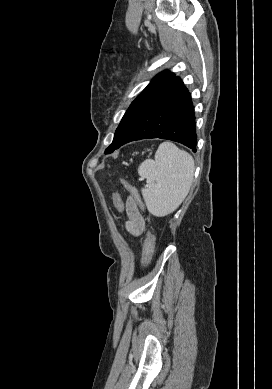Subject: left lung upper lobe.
<instances>
[{"label": "left lung upper lobe", "instance_id": "obj_1", "mask_svg": "<svg viewBox=\"0 0 272 389\" xmlns=\"http://www.w3.org/2000/svg\"><path fill=\"white\" fill-rule=\"evenodd\" d=\"M174 78V73L165 71L151 80L149 85L138 95L124 114L116 129L112 144L105 150L106 154L120 147L123 139L135 125L151 97Z\"/></svg>", "mask_w": 272, "mask_h": 389}]
</instances>
